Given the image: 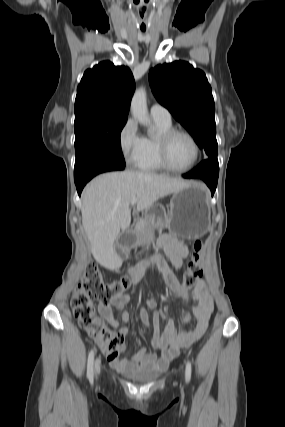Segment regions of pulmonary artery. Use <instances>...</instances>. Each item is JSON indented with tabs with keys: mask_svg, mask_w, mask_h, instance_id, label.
Returning <instances> with one entry per match:
<instances>
[{
	"mask_svg": "<svg viewBox=\"0 0 285 427\" xmlns=\"http://www.w3.org/2000/svg\"><path fill=\"white\" fill-rule=\"evenodd\" d=\"M150 114L154 120H159L163 122H171V114L167 108L160 104H153L150 108Z\"/></svg>",
	"mask_w": 285,
	"mask_h": 427,
	"instance_id": "pulmonary-artery-1",
	"label": "pulmonary artery"
}]
</instances>
